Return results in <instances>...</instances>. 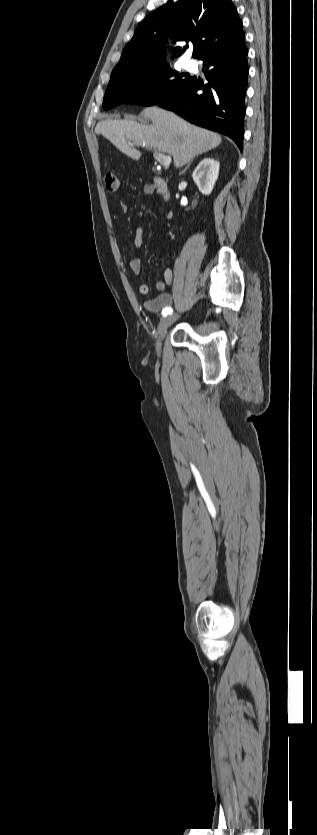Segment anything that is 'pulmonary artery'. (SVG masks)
I'll return each mask as SVG.
<instances>
[{
  "label": "pulmonary artery",
  "instance_id": "obj_1",
  "mask_svg": "<svg viewBox=\"0 0 317 835\" xmlns=\"http://www.w3.org/2000/svg\"><path fill=\"white\" fill-rule=\"evenodd\" d=\"M185 68L189 71H193L197 68V63L193 59H189L185 62Z\"/></svg>",
  "mask_w": 317,
  "mask_h": 835
}]
</instances>
